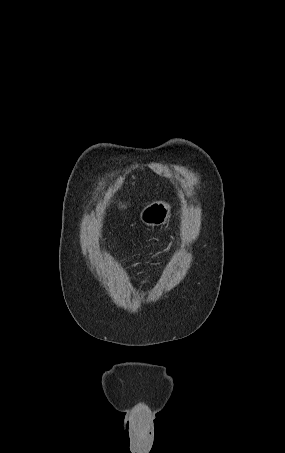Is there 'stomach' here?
Segmentation results:
<instances>
[{
	"mask_svg": "<svg viewBox=\"0 0 285 453\" xmlns=\"http://www.w3.org/2000/svg\"><path fill=\"white\" fill-rule=\"evenodd\" d=\"M171 216V206L164 201H154L140 212V220L151 227L164 225Z\"/></svg>",
	"mask_w": 285,
	"mask_h": 453,
	"instance_id": "obj_1",
	"label": "stomach"
}]
</instances>
